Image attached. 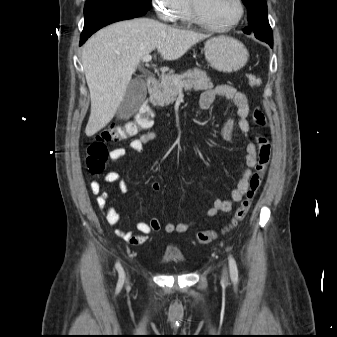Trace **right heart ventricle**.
<instances>
[{"label": "right heart ventricle", "instance_id": "right-heart-ventricle-1", "mask_svg": "<svg viewBox=\"0 0 337 337\" xmlns=\"http://www.w3.org/2000/svg\"><path fill=\"white\" fill-rule=\"evenodd\" d=\"M177 20L181 21L184 24L193 23L191 13L189 10L188 0H183L182 8L178 13Z\"/></svg>", "mask_w": 337, "mask_h": 337}]
</instances>
